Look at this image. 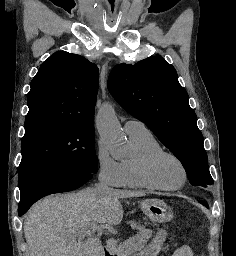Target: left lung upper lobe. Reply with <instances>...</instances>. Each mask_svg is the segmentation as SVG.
Returning <instances> with one entry per match:
<instances>
[{
	"instance_id": "left-lung-upper-lobe-1",
	"label": "left lung upper lobe",
	"mask_w": 236,
	"mask_h": 256,
	"mask_svg": "<svg viewBox=\"0 0 236 256\" xmlns=\"http://www.w3.org/2000/svg\"><path fill=\"white\" fill-rule=\"evenodd\" d=\"M108 89L128 113L144 122L173 152L193 186L213 184L196 114L172 65L159 56L135 65L119 64L110 73Z\"/></svg>"
}]
</instances>
